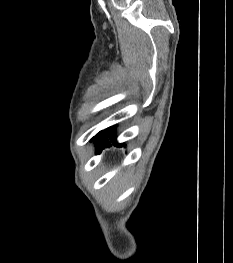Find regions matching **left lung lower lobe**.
Listing matches in <instances>:
<instances>
[{"instance_id":"left-lung-lower-lobe-1","label":"left lung lower lobe","mask_w":233,"mask_h":263,"mask_svg":"<svg viewBox=\"0 0 233 263\" xmlns=\"http://www.w3.org/2000/svg\"><path fill=\"white\" fill-rule=\"evenodd\" d=\"M114 133V127H109L104 131H100L97 135H96V138H95V142L96 144L98 145V149H97V153L101 152L102 149H104L105 147H108V146H111V145H114V146H117V147H122L124 146L123 143L121 144H118L115 140V138L112 137ZM107 136H109L111 138V142L108 141L107 139Z\"/></svg>"}]
</instances>
